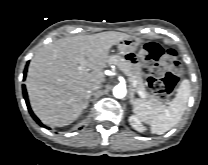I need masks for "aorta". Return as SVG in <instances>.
Here are the masks:
<instances>
[{
    "label": "aorta",
    "mask_w": 208,
    "mask_h": 165,
    "mask_svg": "<svg viewBox=\"0 0 208 165\" xmlns=\"http://www.w3.org/2000/svg\"><path fill=\"white\" fill-rule=\"evenodd\" d=\"M127 90L126 87L122 84L116 85L113 88V95L118 98V99H122L126 96Z\"/></svg>",
    "instance_id": "obj_1"
}]
</instances>
